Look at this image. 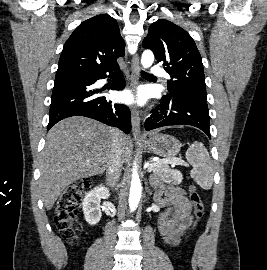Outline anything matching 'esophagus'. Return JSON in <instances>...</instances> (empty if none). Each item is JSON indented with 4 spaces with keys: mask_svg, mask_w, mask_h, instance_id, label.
I'll return each mask as SVG.
<instances>
[{
    "mask_svg": "<svg viewBox=\"0 0 267 270\" xmlns=\"http://www.w3.org/2000/svg\"><path fill=\"white\" fill-rule=\"evenodd\" d=\"M140 73V62L138 54L134 55L131 61V75H130V86L135 88L139 82ZM131 121H132V132L136 137L140 133V116L139 111L136 107L131 109Z\"/></svg>",
    "mask_w": 267,
    "mask_h": 270,
    "instance_id": "1",
    "label": "esophagus"
}]
</instances>
